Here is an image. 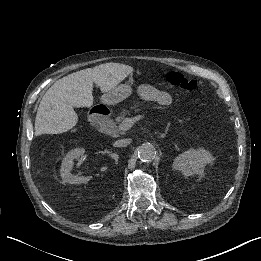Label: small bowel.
<instances>
[{
	"label": "small bowel",
	"instance_id": "c3829d8e",
	"mask_svg": "<svg viewBox=\"0 0 261 261\" xmlns=\"http://www.w3.org/2000/svg\"><path fill=\"white\" fill-rule=\"evenodd\" d=\"M139 95L147 100L155 101L160 105H169L172 101L171 96L152 85H142L138 88Z\"/></svg>",
	"mask_w": 261,
	"mask_h": 261
}]
</instances>
